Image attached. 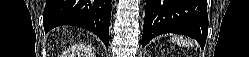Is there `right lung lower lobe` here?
<instances>
[{"label":"right lung lower lobe","mask_w":249,"mask_h":57,"mask_svg":"<svg viewBox=\"0 0 249 57\" xmlns=\"http://www.w3.org/2000/svg\"><path fill=\"white\" fill-rule=\"evenodd\" d=\"M111 0H47L43 24L45 32L60 25L81 27L95 33L109 45Z\"/></svg>","instance_id":"obj_1"}]
</instances>
